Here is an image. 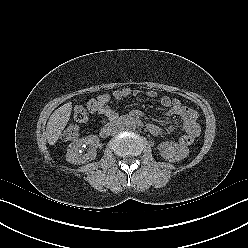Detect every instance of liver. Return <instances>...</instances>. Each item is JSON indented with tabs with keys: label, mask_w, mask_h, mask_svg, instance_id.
Instances as JSON below:
<instances>
[{
	"label": "liver",
	"mask_w": 248,
	"mask_h": 248,
	"mask_svg": "<svg viewBox=\"0 0 248 248\" xmlns=\"http://www.w3.org/2000/svg\"><path fill=\"white\" fill-rule=\"evenodd\" d=\"M72 111V103L68 102L56 109L50 116L46 127V139L50 145H54L61 132L67 125Z\"/></svg>",
	"instance_id": "1"
}]
</instances>
